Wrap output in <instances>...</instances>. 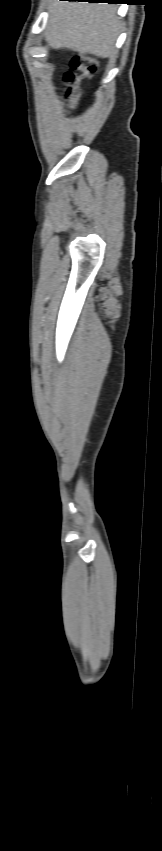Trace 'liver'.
<instances>
[{
    "instance_id": "obj_1",
    "label": "liver",
    "mask_w": 162,
    "mask_h": 851,
    "mask_svg": "<svg viewBox=\"0 0 162 851\" xmlns=\"http://www.w3.org/2000/svg\"><path fill=\"white\" fill-rule=\"evenodd\" d=\"M45 39L55 49L108 58L120 31L117 7L107 3L49 0Z\"/></svg>"
}]
</instances>
